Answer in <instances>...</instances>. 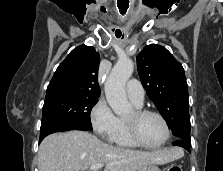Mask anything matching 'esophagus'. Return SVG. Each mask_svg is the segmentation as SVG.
Returning <instances> with one entry per match:
<instances>
[{
    "instance_id": "34e87169",
    "label": "esophagus",
    "mask_w": 223,
    "mask_h": 171,
    "mask_svg": "<svg viewBox=\"0 0 223 171\" xmlns=\"http://www.w3.org/2000/svg\"><path fill=\"white\" fill-rule=\"evenodd\" d=\"M120 11H121V12H124V10H123V9H120Z\"/></svg>"
}]
</instances>
